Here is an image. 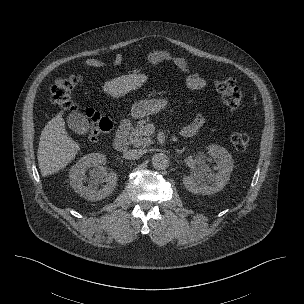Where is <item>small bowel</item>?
Returning a JSON list of instances; mask_svg holds the SVG:
<instances>
[{"instance_id":"small-bowel-1","label":"small bowel","mask_w":304,"mask_h":304,"mask_svg":"<svg viewBox=\"0 0 304 304\" xmlns=\"http://www.w3.org/2000/svg\"><path fill=\"white\" fill-rule=\"evenodd\" d=\"M123 57L120 54H115L110 60H102L90 58L84 61L85 67H104L114 66L122 62ZM147 64L150 67H155L162 62H172L186 77V86L191 90H201L207 86V81L198 72L191 69L189 61L182 56H176L166 50H155L148 54ZM204 124V118L201 115L196 116L194 121L185 126L181 133L183 136H193Z\"/></svg>"}]
</instances>
